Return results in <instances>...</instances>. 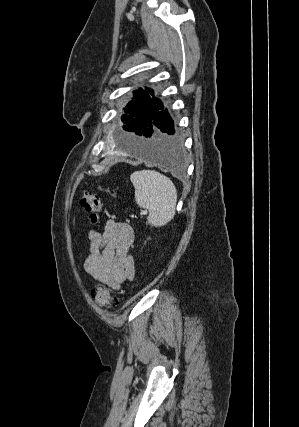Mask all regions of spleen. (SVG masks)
I'll return each mask as SVG.
<instances>
[{
	"label": "spleen",
	"mask_w": 299,
	"mask_h": 427,
	"mask_svg": "<svg viewBox=\"0 0 299 427\" xmlns=\"http://www.w3.org/2000/svg\"><path fill=\"white\" fill-rule=\"evenodd\" d=\"M138 206L149 212L147 223L160 227L166 225L175 215L177 190L165 175L154 170H141L131 174Z\"/></svg>",
	"instance_id": "3e777b00"
}]
</instances>
